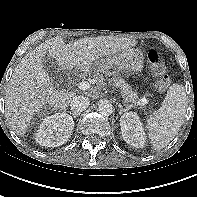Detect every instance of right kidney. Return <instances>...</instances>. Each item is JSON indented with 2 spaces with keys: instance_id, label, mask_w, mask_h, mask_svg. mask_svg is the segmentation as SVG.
Instances as JSON below:
<instances>
[{
  "instance_id": "obj_1",
  "label": "right kidney",
  "mask_w": 197,
  "mask_h": 197,
  "mask_svg": "<svg viewBox=\"0 0 197 197\" xmlns=\"http://www.w3.org/2000/svg\"><path fill=\"white\" fill-rule=\"evenodd\" d=\"M74 128L73 118L66 113H56L44 118L36 133V141L44 147H58L70 138Z\"/></svg>"
}]
</instances>
